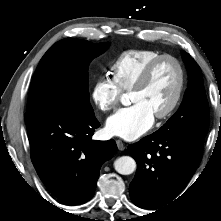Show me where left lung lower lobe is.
Masks as SVG:
<instances>
[{
    "label": "left lung lower lobe",
    "instance_id": "0a47b994",
    "mask_svg": "<svg viewBox=\"0 0 221 221\" xmlns=\"http://www.w3.org/2000/svg\"><path fill=\"white\" fill-rule=\"evenodd\" d=\"M204 134L197 132H154L129 145L137 162L130 183L132 202L140 208H160L185 188L201 161Z\"/></svg>",
    "mask_w": 221,
    "mask_h": 221
}]
</instances>
